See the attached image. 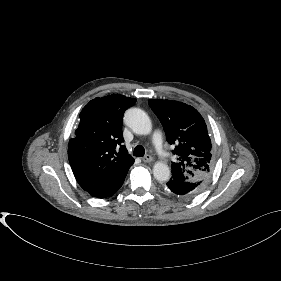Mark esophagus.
<instances>
[{
  "instance_id": "obj_1",
  "label": "esophagus",
  "mask_w": 281,
  "mask_h": 281,
  "mask_svg": "<svg viewBox=\"0 0 281 281\" xmlns=\"http://www.w3.org/2000/svg\"><path fill=\"white\" fill-rule=\"evenodd\" d=\"M142 161L145 162V163H150V162L153 161V158H152L151 155L147 154L142 158Z\"/></svg>"
}]
</instances>
